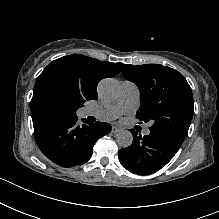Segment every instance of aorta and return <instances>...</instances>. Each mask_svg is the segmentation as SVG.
<instances>
[{
    "label": "aorta",
    "mask_w": 219,
    "mask_h": 219,
    "mask_svg": "<svg viewBox=\"0 0 219 219\" xmlns=\"http://www.w3.org/2000/svg\"><path fill=\"white\" fill-rule=\"evenodd\" d=\"M119 84L115 79L107 78L100 81L98 85L99 96L104 101H113L119 95ZM116 142L121 148L129 147L133 142V136L130 131L123 130L117 133Z\"/></svg>",
    "instance_id": "762f6f07"
}]
</instances>
